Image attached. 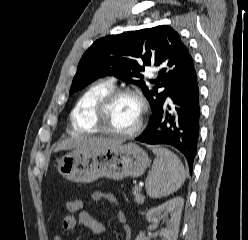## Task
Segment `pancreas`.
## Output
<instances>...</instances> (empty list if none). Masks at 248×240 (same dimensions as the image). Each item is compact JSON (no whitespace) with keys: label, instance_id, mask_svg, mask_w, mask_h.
Wrapping results in <instances>:
<instances>
[{"label":"pancreas","instance_id":"cf45deb5","mask_svg":"<svg viewBox=\"0 0 248 240\" xmlns=\"http://www.w3.org/2000/svg\"><path fill=\"white\" fill-rule=\"evenodd\" d=\"M141 188L138 186L133 188V195L135 196V202L138 204H142L144 202V197L141 195Z\"/></svg>","mask_w":248,"mask_h":240}]
</instances>
